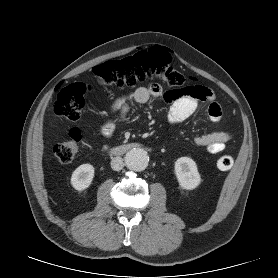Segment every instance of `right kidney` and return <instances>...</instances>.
I'll return each mask as SVG.
<instances>
[{
	"mask_svg": "<svg viewBox=\"0 0 278 278\" xmlns=\"http://www.w3.org/2000/svg\"><path fill=\"white\" fill-rule=\"evenodd\" d=\"M94 177V167L91 164H82L72 173L71 185L78 191L88 188Z\"/></svg>",
	"mask_w": 278,
	"mask_h": 278,
	"instance_id": "obj_1",
	"label": "right kidney"
}]
</instances>
